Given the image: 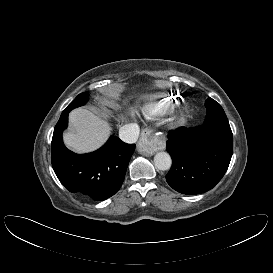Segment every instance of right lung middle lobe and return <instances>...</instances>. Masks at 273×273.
<instances>
[{"mask_svg": "<svg viewBox=\"0 0 273 273\" xmlns=\"http://www.w3.org/2000/svg\"><path fill=\"white\" fill-rule=\"evenodd\" d=\"M87 100L88 94L86 92L79 94L62 113L70 112L72 109L84 105Z\"/></svg>", "mask_w": 273, "mask_h": 273, "instance_id": "right-lung-middle-lobe-1", "label": "right lung middle lobe"}]
</instances>
